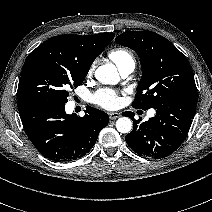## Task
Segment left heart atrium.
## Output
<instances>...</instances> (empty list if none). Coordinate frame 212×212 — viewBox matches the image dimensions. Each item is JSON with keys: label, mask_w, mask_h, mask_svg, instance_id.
Segmentation results:
<instances>
[{"label": "left heart atrium", "mask_w": 212, "mask_h": 212, "mask_svg": "<svg viewBox=\"0 0 212 212\" xmlns=\"http://www.w3.org/2000/svg\"><path fill=\"white\" fill-rule=\"evenodd\" d=\"M93 102L103 108L113 109L119 104V98L115 91L101 89L94 94Z\"/></svg>", "instance_id": "1"}]
</instances>
